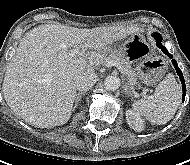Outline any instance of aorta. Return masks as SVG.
I'll return each mask as SVG.
<instances>
[{
  "label": "aorta",
  "mask_w": 190,
  "mask_h": 165,
  "mask_svg": "<svg viewBox=\"0 0 190 165\" xmlns=\"http://www.w3.org/2000/svg\"><path fill=\"white\" fill-rule=\"evenodd\" d=\"M105 88L109 91H115L120 87V78L115 75H109L104 80Z\"/></svg>",
  "instance_id": "1"
}]
</instances>
